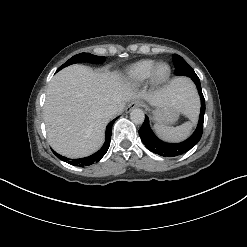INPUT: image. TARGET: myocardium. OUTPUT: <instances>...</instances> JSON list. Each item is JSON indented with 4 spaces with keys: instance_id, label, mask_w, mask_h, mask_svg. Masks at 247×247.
<instances>
[{
    "instance_id": "myocardium-1",
    "label": "myocardium",
    "mask_w": 247,
    "mask_h": 247,
    "mask_svg": "<svg viewBox=\"0 0 247 247\" xmlns=\"http://www.w3.org/2000/svg\"><path fill=\"white\" fill-rule=\"evenodd\" d=\"M165 69L164 72H161L162 69ZM171 76L170 65L166 62L157 63L150 75V81L154 85H160L165 83Z\"/></svg>"
}]
</instances>
